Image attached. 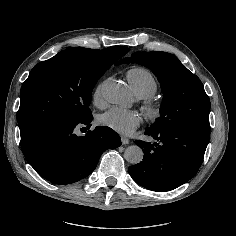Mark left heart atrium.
I'll return each mask as SVG.
<instances>
[{"mask_svg": "<svg viewBox=\"0 0 236 236\" xmlns=\"http://www.w3.org/2000/svg\"><path fill=\"white\" fill-rule=\"evenodd\" d=\"M99 123L115 132L129 136L143 123V117L134 110L113 107L99 117Z\"/></svg>", "mask_w": 236, "mask_h": 236, "instance_id": "39dd6f15", "label": "left heart atrium"}]
</instances>
